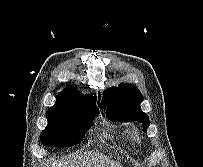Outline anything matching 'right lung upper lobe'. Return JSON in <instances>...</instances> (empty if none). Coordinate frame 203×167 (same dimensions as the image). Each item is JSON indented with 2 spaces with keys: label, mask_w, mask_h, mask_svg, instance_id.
<instances>
[{
  "label": "right lung upper lobe",
  "mask_w": 203,
  "mask_h": 167,
  "mask_svg": "<svg viewBox=\"0 0 203 167\" xmlns=\"http://www.w3.org/2000/svg\"><path fill=\"white\" fill-rule=\"evenodd\" d=\"M96 102V96L82 95L74 87L67 86L65 90L56 97V103L47 111L59 110L78 103Z\"/></svg>",
  "instance_id": "right-lung-upper-lobe-1"
}]
</instances>
